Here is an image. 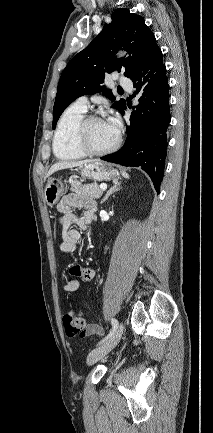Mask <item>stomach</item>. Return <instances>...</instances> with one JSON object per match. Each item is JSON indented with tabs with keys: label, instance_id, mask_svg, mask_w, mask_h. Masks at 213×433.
Listing matches in <instances>:
<instances>
[{
	"label": "stomach",
	"instance_id": "obj_1",
	"mask_svg": "<svg viewBox=\"0 0 213 433\" xmlns=\"http://www.w3.org/2000/svg\"><path fill=\"white\" fill-rule=\"evenodd\" d=\"M80 173L84 178L95 181H108L116 179L119 173L109 164L95 160L84 164L80 168ZM67 190L66 181L62 178H50L44 190V199L49 206L55 205Z\"/></svg>",
	"mask_w": 213,
	"mask_h": 433
}]
</instances>
